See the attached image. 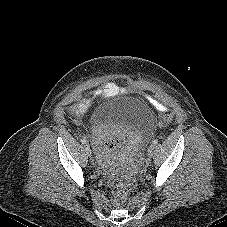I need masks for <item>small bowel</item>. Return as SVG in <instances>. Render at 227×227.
I'll list each match as a JSON object with an SVG mask.
<instances>
[{
    "label": "small bowel",
    "mask_w": 227,
    "mask_h": 227,
    "mask_svg": "<svg viewBox=\"0 0 227 227\" xmlns=\"http://www.w3.org/2000/svg\"><path fill=\"white\" fill-rule=\"evenodd\" d=\"M125 92L126 91L123 88L119 87L117 84L113 82H107L102 87H99L94 91L93 98H111L120 94H124ZM89 105L90 100L83 99L75 104L74 109L84 111L89 107ZM156 106L158 108H161L159 103H156ZM93 144L95 150L100 155L114 153L119 147V143L117 142L116 137H111L108 139L95 138L93 140Z\"/></svg>",
    "instance_id": "c3829d8e"
}]
</instances>
